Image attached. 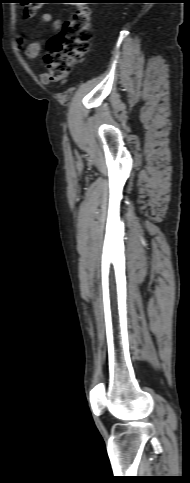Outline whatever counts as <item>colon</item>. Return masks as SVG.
Instances as JSON below:
<instances>
[{
    "instance_id": "1",
    "label": "colon",
    "mask_w": 190,
    "mask_h": 483,
    "mask_svg": "<svg viewBox=\"0 0 190 483\" xmlns=\"http://www.w3.org/2000/svg\"><path fill=\"white\" fill-rule=\"evenodd\" d=\"M23 16L34 17L39 1H26ZM91 13L87 7L78 8L64 23L59 33L48 41L45 55L46 74L52 81L62 82L73 66L80 64L90 48Z\"/></svg>"
}]
</instances>
